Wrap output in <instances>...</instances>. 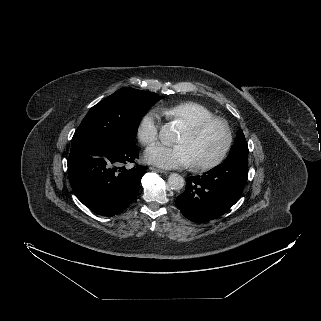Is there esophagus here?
<instances>
[{
  "label": "esophagus",
  "mask_w": 321,
  "mask_h": 321,
  "mask_svg": "<svg viewBox=\"0 0 321 321\" xmlns=\"http://www.w3.org/2000/svg\"><path fill=\"white\" fill-rule=\"evenodd\" d=\"M150 170L158 172V173H162V174H168L167 171L162 170V169H158V168H155V167H150Z\"/></svg>",
  "instance_id": "1"
}]
</instances>
